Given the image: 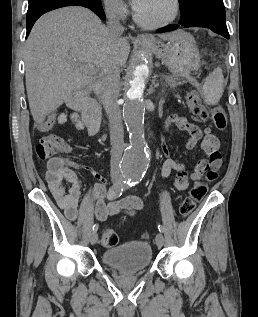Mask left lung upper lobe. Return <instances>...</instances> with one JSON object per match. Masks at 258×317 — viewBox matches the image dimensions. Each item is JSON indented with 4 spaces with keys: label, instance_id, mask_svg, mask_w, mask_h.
<instances>
[{
    "label": "left lung upper lobe",
    "instance_id": "left-lung-upper-lobe-1",
    "mask_svg": "<svg viewBox=\"0 0 258 317\" xmlns=\"http://www.w3.org/2000/svg\"><path fill=\"white\" fill-rule=\"evenodd\" d=\"M207 1L220 2L223 4V0H179L181 9V21L189 20L196 12L197 7Z\"/></svg>",
    "mask_w": 258,
    "mask_h": 317
}]
</instances>
